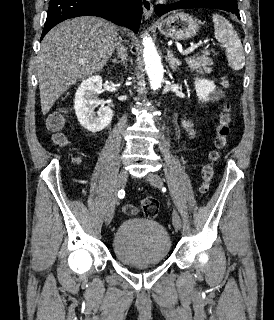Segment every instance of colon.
Here are the masks:
<instances>
[{
  "mask_svg": "<svg viewBox=\"0 0 274 320\" xmlns=\"http://www.w3.org/2000/svg\"><path fill=\"white\" fill-rule=\"evenodd\" d=\"M65 115L62 111L51 113L47 119L46 127L52 132V140L56 144L67 143L66 137L60 132L64 126ZM230 133V117L225 109L224 114L220 117L217 127L215 149L213 152V157L218 158L225 148L226 142L228 140ZM213 174V167L207 165L203 172V180L206 184L204 190L207 188L208 182L211 180ZM123 212L128 216H134L137 213H143L147 218L155 217L159 212V206L155 199L147 198L143 200L142 206L137 208L131 204L125 205L123 207Z\"/></svg>",
  "mask_w": 274,
  "mask_h": 320,
  "instance_id": "colon-1",
  "label": "colon"
}]
</instances>
